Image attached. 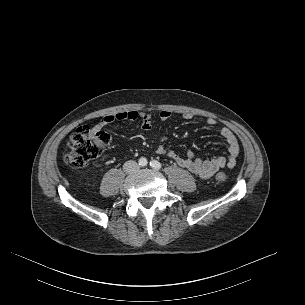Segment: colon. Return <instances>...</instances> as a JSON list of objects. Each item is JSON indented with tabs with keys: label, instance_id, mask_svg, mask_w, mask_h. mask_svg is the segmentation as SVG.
<instances>
[{
	"label": "colon",
	"instance_id": "obj_1",
	"mask_svg": "<svg viewBox=\"0 0 305 305\" xmlns=\"http://www.w3.org/2000/svg\"><path fill=\"white\" fill-rule=\"evenodd\" d=\"M110 142L111 136L107 132L97 131L93 127H81L70 137L69 151L64 155L63 161L70 168L86 167L99 157ZM226 180L227 174L224 172L215 175V181L218 183H224Z\"/></svg>",
	"mask_w": 305,
	"mask_h": 305
}]
</instances>
